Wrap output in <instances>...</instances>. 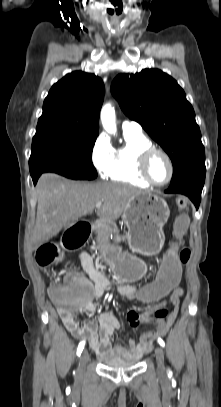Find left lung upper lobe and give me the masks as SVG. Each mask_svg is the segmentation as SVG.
Segmentation results:
<instances>
[{
	"instance_id": "1",
	"label": "left lung upper lobe",
	"mask_w": 221,
	"mask_h": 407,
	"mask_svg": "<svg viewBox=\"0 0 221 407\" xmlns=\"http://www.w3.org/2000/svg\"><path fill=\"white\" fill-rule=\"evenodd\" d=\"M111 92L123 112L141 124L167 152L173 164L171 182L205 163L194 110L171 76L158 69L119 74L112 82Z\"/></svg>"
}]
</instances>
